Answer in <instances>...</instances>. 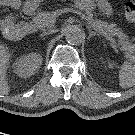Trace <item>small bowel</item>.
<instances>
[{
    "label": "small bowel",
    "instance_id": "1",
    "mask_svg": "<svg viewBox=\"0 0 135 135\" xmlns=\"http://www.w3.org/2000/svg\"><path fill=\"white\" fill-rule=\"evenodd\" d=\"M100 11L106 15L111 13V7L107 0H94ZM0 4L9 8H18L20 6L19 0H0Z\"/></svg>",
    "mask_w": 135,
    "mask_h": 135
}]
</instances>
